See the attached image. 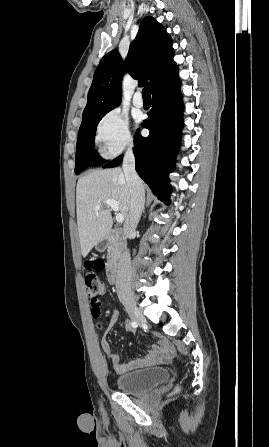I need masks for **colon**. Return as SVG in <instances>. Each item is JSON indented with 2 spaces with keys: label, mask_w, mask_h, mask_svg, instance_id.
<instances>
[{
  "label": "colon",
  "mask_w": 269,
  "mask_h": 447,
  "mask_svg": "<svg viewBox=\"0 0 269 447\" xmlns=\"http://www.w3.org/2000/svg\"><path fill=\"white\" fill-rule=\"evenodd\" d=\"M105 269L103 257H90L89 262H86L84 267V285L86 288V293L91 298L92 312H96L99 307V296L106 293L105 282L97 276L98 271H103ZM93 318H98V313H93ZM99 330L104 328L102 323L97 325Z\"/></svg>",
  "instance_id": "obj_1"
}]
</instances>
